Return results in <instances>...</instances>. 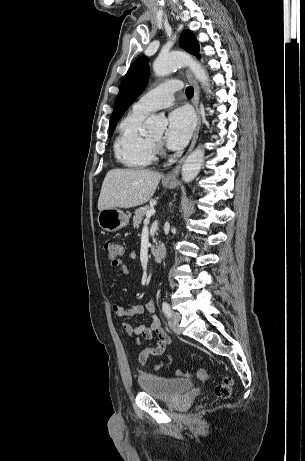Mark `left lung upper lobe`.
Returning a JSON list of instances; mask_svg holds the SVG:
<instances>
[{"instance_id":"left-lung-upper-lobe-1","label":"left lung upper lobe","mask_w":305,"mask_h":461,"mask_svg":"<svg viewBox=\"0 0 305 461\" xmlns=\"http://www.w3.org/2000/svg\"><path fill=\"white\" fill-rule=\"evenodd\" d=\"M180 46L187 52L199 56V44L191 31L184 30L182 32ZM148 62L149 59L146 56L139 57L132 63L124 76L111 114L110 133H113L124 112L146 87L150 73Z\"/></svg>"}]
</instances>
